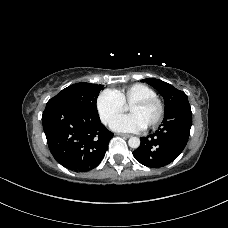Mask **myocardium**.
<instances>
[{
    "label": "myocardium",
    "instance_id": "myocardium-1",
    "mask_svg": "<svg viewBox=\"0 0 228 228\" xmlns=\"http://www.w3.org/2000/svg\"><path fill=\"white\" fill-rule=\"evenodd\" d=\"M152 104H155L157 106L158 113L154 121L150 123L148 126H146V128L148 129L156 128L162 122L165 115V104L163 100L157 96H154V97L139 99L130 104V106H138V107H146Z\"/></svg>",
    "mask_w": 228,
    "mask_h": 228
}]
</instances>
